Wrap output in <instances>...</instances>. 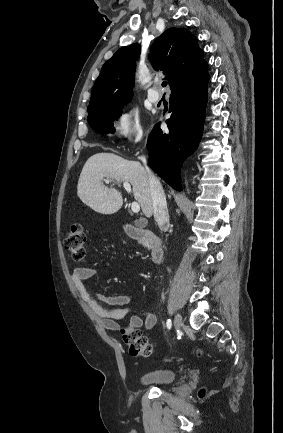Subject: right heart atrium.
<instances>
[{
  "label": "right heart atrium",
  "mask_w": 283,
  "mask_h": 433,
  "mask_svg": "<svg viewBox=\"0 0 283 433\" xmlns=\"http://www.w3.org/2000/svg\"><path fill=\"white\" fill-rule=\"evenodd\" d=\"M117 139L125 146L133 147L145 141V131L139 108L128 107L122 110L112 123Z\"/></svg>",
  "instance_id": "right-heart-atrium-1"
}]
</instances>
